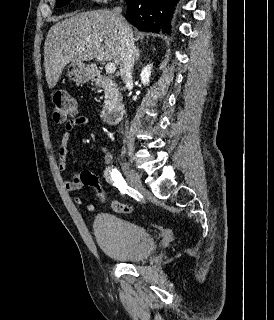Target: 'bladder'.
<instances>
[{
  "label": "bladder",
  "instance_id": "obj_1",
  "mask_svg": "<svg viewBox=\"0 0 274 320\" xmlns=\"http://www.w3.org/2000/svg\"><path fill=\"white\" fill-rule=\"evenodd\" d=\"M92 228L100 249L122 262H141L156 249L155 239L148 229L111 213L98 214Z\"/></svg>",
  "mask_w": 274,
  "mask_h": 320
}]
</instances>
